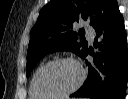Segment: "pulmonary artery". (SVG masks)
Instances as JSON below:
<instances>
[{
    "label": "pulmonary artery",
    "mask_w": 128,
    "mask_h": 99,
    "mask_svg": "<svg viewBox=\"0 0 128 99\" xmlns=\"http://www.w3.org/2000/svg\"><path fill=\"white\" fill-rule=\"evenodd\" d=\"M86 33L90 38H93L95 36V30L90 26H86Z\"/></svg>",
    "instance_id": "1"
}]
</instances>
